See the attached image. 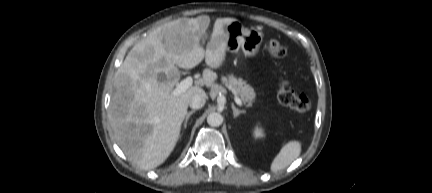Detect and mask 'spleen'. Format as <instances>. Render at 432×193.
<instances>
[{"label": "spleen", "mask_w": 432, "mask_h": 193, "mask_svg": "<svg viewBox=\"0 0 432 193\" xmlns=\"http://www.w3.org/2000/svg\"><path fill=\"white\" fill-rule=\"evenodd\" d=\"M301 153V143L296 140L289 141L280 150V152L273 159L270 170L274 173L286 168L294 160H296Z\"/></svg>", "instance_id": "3e777b00"}]
</instances>
